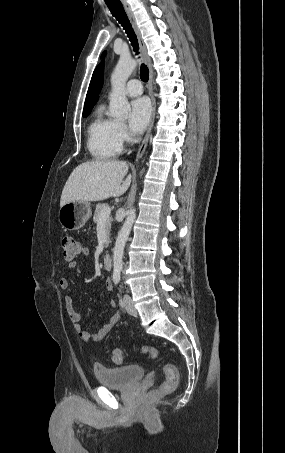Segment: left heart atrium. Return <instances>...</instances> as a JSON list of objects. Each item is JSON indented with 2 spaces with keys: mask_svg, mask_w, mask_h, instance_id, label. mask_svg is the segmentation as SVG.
<instances>
[{
  "mask_svg": "<svg viewBox=\"0 0 285 453\" xmlns=\"http://www.w3.org/2000/svg\"><path fill=\"white\" fill-rule=\"evenodd\" d=\"M151 115L149 101L144 98H137L130 104L129 127L134 134H140L146 128Z\"/></svg>",
  "mask_w": 285,
  "mask_h": 453,
  "instance_id": "left-heart-atrium-1",
  "label": "left heart atrium"
}]
</instances>
